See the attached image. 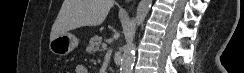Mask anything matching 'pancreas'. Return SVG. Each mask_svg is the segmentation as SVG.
Returning a JSON list of instances; mask_svg holds the SVG:
<instances>
[{"mask_svg": "<svg viewBox=\"0 0 244 73\" xmlns=\"http://www.w3.org/2000/svg\"><path fill=\"white\" fill-rule=\"evenodd\" d=\"M102 43V38L99 37L98 35H95L92 37L86 46V52L87 53H95L96 51L100 50V45Z\"/></svg>", "mask_w": 244, "mask_h": 73, "instance_id": "1", "label": "pancreas"}]
</instances>
